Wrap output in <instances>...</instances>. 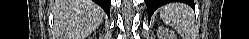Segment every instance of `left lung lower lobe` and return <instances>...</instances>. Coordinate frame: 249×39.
<instances>
[{"mask_svg": "<svg viewBox=\"0 0 249 39\" xmlns=\"http://www.w3.org/2000/svg\"><path fill=\"white\" fill-rule=\"evenodd\" d=\"M170 0H145L148 10L149 18L154 13V11L159 8L161 5L169 3ZM183 2L189 4L190 6L194 7V2L191 0H184Z\"/></svg>", "mask_w": 249, "mask_h": 39, "instance_id": "left-lung-lower-lobe-1", "label": "left lung lower lobe"}]
</instances>
